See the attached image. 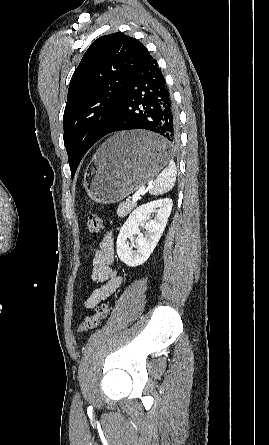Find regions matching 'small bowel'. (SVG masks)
<instances>
[{
	"instance_id": "obj_1",
	"label": "small bowel",
	"mask_w": 269,
	"mask_h": 445,
	"mask_svg": "<svg viewBox=\"0 0 269 445\" xmlns=\"http://www.w3.org/2000/svg\"><path fill=\"white\" fill-rule=\"evenodd\" d=\"M92 253V279L99 286L85 300L84 306L87 309H92L109 298L122 284V277L112 267L114 239L111 233L103 237L99 247L93 249Z\"/></svg>"
}]
</instances>
